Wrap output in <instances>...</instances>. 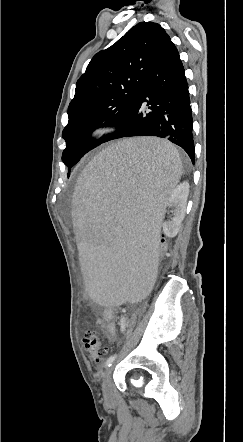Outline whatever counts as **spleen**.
Wrapping results in <instances>:
<instances>
[{
    "mask_svg": "<svg viewBox=\"0 0 243 442\" xmlns=\"http://www.w3.org/2000/svg\"><path fill=\"white\" fill-rule=\"evenodd\" d=\"M85 169L72 226L86 295L103 307H139L154 285L164 204L183 173L181 157L164 140L126 139Z\"/></svg>",
    "mask_w": 243,
    "mask_h": 442,
    "instance_id": "obj_1",
    "label": "spleen"
}]
</instances>
